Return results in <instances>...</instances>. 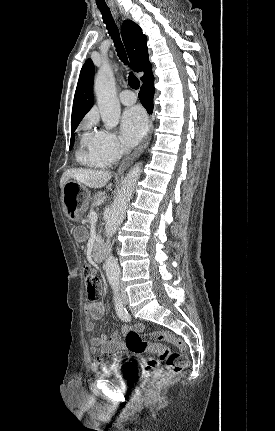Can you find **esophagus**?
Here are the masks:
<instances>
[{
    "instance_id": "34e87169",
    "label": "esophagus",
    "mask_w": 275,
    "mask_h": 431,
    "mask_svg": "<svg viewBox=\"0 0 275 431\" xmlns=\"http://www.w3.org/2000/svg\"><path fill=\"white\" fill-rule=\"evenodd\" d=\"M152 129H153V120L151 118L149 128H148V131H147L145 138L143 139L141 144L132 152V154L121 163V165L118 169V174H121V172L126 167H128L136 158H138L140 156V154L144 151V149L146 148V146L150 142Z\"/></svg>"
}]
</instances>
